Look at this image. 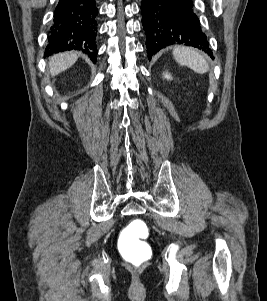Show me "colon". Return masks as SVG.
<instances>
[{
  "instance_id": "obj_1",
  "label": "colon",
  "mask_w": 267,
  "mask_h": 301,
  "mask_svg": "<svg viewBox=\"0 0 267 301\" xmlns=\"http://www.w3.org/2000/svg\"><path fill=\"white\" fill-rule=\"evenodd\" d=\"M149 230L141 219H133L122 231L119 250L123 258L135 267H139L151 258V248L145 241Z\"/></svg>"
}]
</instances>
